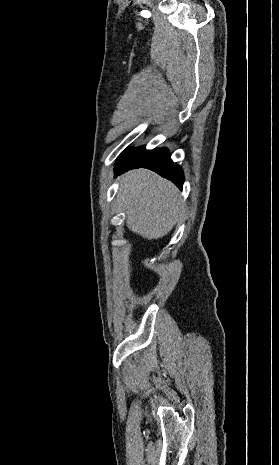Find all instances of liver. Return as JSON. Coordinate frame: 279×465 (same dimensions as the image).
<instances>
[{"label":"liver","instance_id":"liver-1","mask_svg":"<svg viewBox=\"0 0 279 465\" xmlns=\"http://www.w3.org/2000/svg\"><path fill=\"white\" fill-rule=\"evenodd\" d=\"M117 202L127 227L148 240L167 235L184 209L175 185L143 168L121 176Z\"/></svg>","mask_w":279,"mask_h":465}]
</instances>
